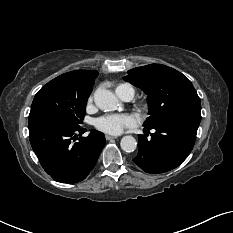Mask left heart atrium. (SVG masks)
Wrapping results in <instances>:
<instances>
[{
	"instance_id": "39dd6f15",
	"label": "left heart atrium",
	"mask_w": 233,
	"mask_h": 233,
	"mask_svg": "<svg viewBox=\"0 0 233 233\" xmlns=\"http://www.w3.org/2000/svg\"><path fill=\"white\" fill-rule=\"evenodd\" d=\"M138 122V118L133 114H109L98 118L95 125L105 133L118 135L126 128L135 127Z\"/></svg>"
}]
</instances>
